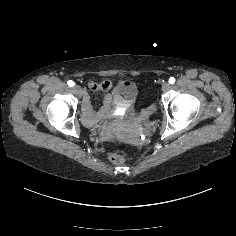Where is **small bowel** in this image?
Returning a JSON list of instances; mask_svg holds the SVG:
<instances>
[{
  "instance_id": "obj_1",
  "label": "small bowel",
  "mask_w": 236,
  "mask_h": 236,
  "mask_svg": "<svg viewBox=\"0 0 236 236\" xmlns=\"http://www.w3.org/2000/svg\"><path fill=\"white\" fill-rule=\"evenodd\" d=\"M89 87L93 90L101 89V90H109L111 88V82L108 80L102 81L100 83L91 82Z\"/></svg>"
}]
</instances>
